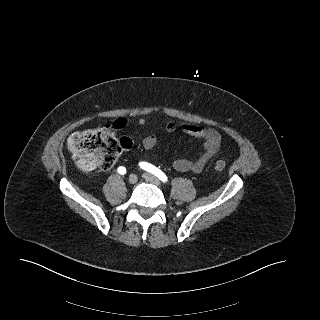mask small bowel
Instances as JSON below:
<instances>
[{"instance_id":"c3829d8e","label":"small bowel","mask_w":320,"mask_h":320,"mask_svg":"<svg viewBox=\"0 0 320 320\" xmlns=\"http://www.w3.org/2000/svg\"><path fill=\"white\" fill-rule=\"evenodd\" d=\"M139 126H144L146 120L140 118L137 121ZM117 128H122L125 125L124 120H118L116 123ZM180 129L183 133L201 139L203 141V149L199 152L198 156L194 159L180 158L173 162V168L179 172H201L211 159L220 154L221 152V135L220 133L209 127H200L192 124H176L168 123L165 125V131L172 133ZM158 139L155 135L146 136L142 145L145 150L150 151L157 145Z\"/></svg>"}]
</instances>
